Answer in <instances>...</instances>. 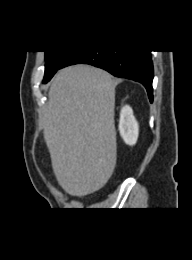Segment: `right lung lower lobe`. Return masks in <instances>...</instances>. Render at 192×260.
Instances as JSON below:
<instances>
[{
	"mask_svg": "<svg viewBox=\"0 0 192 260\" xmlns=\"http://www.w3.org/2000/svg\"><path fill=\"white\" fill-rule=\"evenodd\" d=\"M90 64L107 70L116 77L127 78L143 84L150 102L153 101V63L150 51H85L74 52L63 67L73 64Z\"/></svg>",
	"mask_w": 192,
	"mask_h": 260,
	"instance_id": "obj_1",
	"label": "right lung lower lobe"
}]
</instances>
